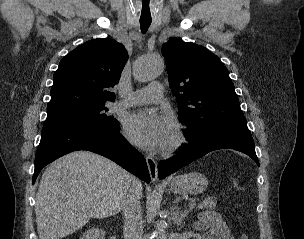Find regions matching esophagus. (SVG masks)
Returning <instances> with one entry per match:
<instances>
[{
  "label": "esophagus",
  "instance_id": "esophagus-1",
  "mask_svg": "<svg viewBox=\"0 0 304 239\" xmlns=\"http://www.w3.org/2000/svg\"><path fill=\"white\" fill-rule=\"evenodd\" d=\"M146 162L152 182H157V162L151 155H146Z\"/></svg>",
  "mask_w": 304,
  "mask_h": 239
}]
</instances>
